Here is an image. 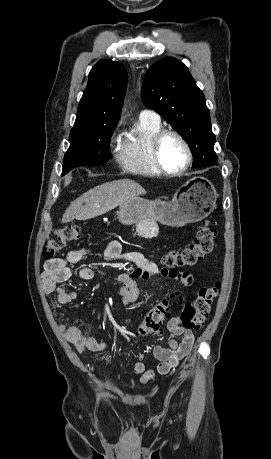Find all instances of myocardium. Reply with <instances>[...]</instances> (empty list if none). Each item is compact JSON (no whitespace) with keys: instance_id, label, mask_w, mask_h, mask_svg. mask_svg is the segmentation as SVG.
<instances>
[{"instance_id":"myocardium-1","label":"myocardium","mask_w":271,"mask_h":459,"mask_svg":"<svg viewBox=\"0 0 271 459\" xmlns=\"http://www.w3.org/2000/svg\"><path fill=\"white\" fill-rule=\"evenodd\" d=\"M168 135L177 136L184 143L187 149V153H188L187 163L184 167L180 169H170L164 164L162 160L161 143L163 139ZM151 155H152V160L154 164L159 168V170L162 173L170 175V176H178V175L184 174L191 168L193 161H194V151H193V148L189 140L182 132H180L177 129H173V128L161 129L159 132H157L154 135L152 139V144H151Z\"/></svg>"}]
</instances>
